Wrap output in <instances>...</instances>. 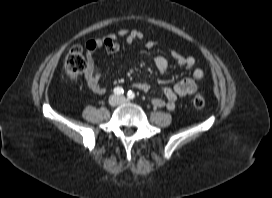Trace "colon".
I'll list each match as a JSON object with an SVG mask.
<instances>
[{
	"instance_id": "colon-1",
	"label": "colon",
	"mask_w": 272,
	"mask_h": 198,
	"mask_svg": "<svg viewBox=\"0 0 272 198\" xmlns=\"http://www.w3.org/2000/svg\"><path fill=\"white\" fill-rule=\"evenodd\" d=\"M87 68L84 50L80 45H73L67 52L64 59V69L71 81L77 82ZM193 105L196 108H203L204 97L197 94L193 98Z\"/></svg>"
}]
</instances>
